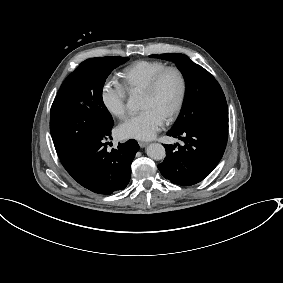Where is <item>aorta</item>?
<instances>
[{"label":"aorta","instance_id":"762f6f07","mask_svg":"<svg viewBox=\"0 0 283 283\" xmlns=\"http://www.w3.org/2000/svg\"><path fill=\"white\" fill-rule=\"evenodd\" d=\"M128 107L136 110L139 107V100L136 96H131L128 100ZM148 157L153 160H162L165 158L166 151L162 144L152 143L146 148Z\"/></svg>","mask_w":283,"mask_h":283}]
</instances>
